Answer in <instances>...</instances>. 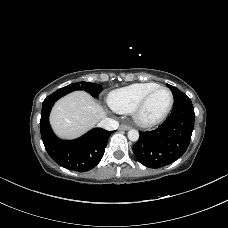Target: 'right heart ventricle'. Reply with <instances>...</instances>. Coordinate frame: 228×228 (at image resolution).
<instances>
[{
  "label": "right heart ventricle",
  "mask_w": 228,
  "mask_h": 228,
  "mask_svg": "<svg viewBox=\"0 0 228 228\" xmlns=\"http://www.w3.org/2000/svg\"><path fill=\"white\" fill-rule=\"evenodd\" d=\"M157 86H159V84L155 82L131 84L111 92L108 97V102L113 110L128 114L133 111L138 102L150 90Z\"/></svg>",
  "instance_id": "obj_1"
}]
</instances>
